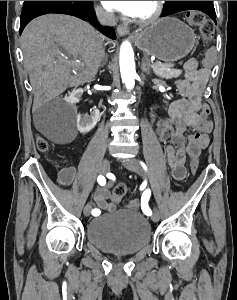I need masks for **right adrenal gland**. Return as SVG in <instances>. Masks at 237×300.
Returning <instances> with one entry per match:
<instances>
[{"mask_svg": "<svg viewBox=\"0 0 237 300\" xmlns=\"http://www.w3.org/2000/svg\"><path fill=\"white\" fill-rule=\"evenodd\" d=\"M106 61H107V57H105V59H104V63H102L101 67H104V65H105Z\"/></svg>", "mask_w": 237, "mask_h": 300, "instance_id": "1", "label": "right adrenal gland"}]
</instances>
